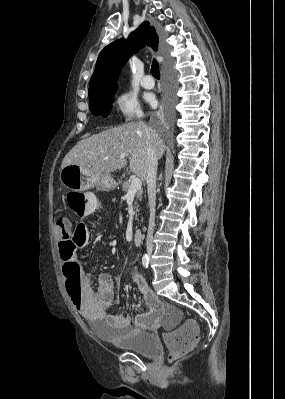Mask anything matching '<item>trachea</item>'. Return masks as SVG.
Here are the masks:
<instances>
[{
    "label": "trachea",
    "instance_id": "obj_1",
    "mask_svg": "<svg viewBox=\"0 0 285 399\" xmlns=\"http://www.w3.org/2000/svg\"><path fill=\"white\" fill-rule=\"evenodd\" d=\"M151 74L156 79L160 78L159 64H158V62L155 59H153V62H152V65H151Z\"/></svg>",
    "mask_w": 285,
    "mask_h": 399
}]
</instances>
